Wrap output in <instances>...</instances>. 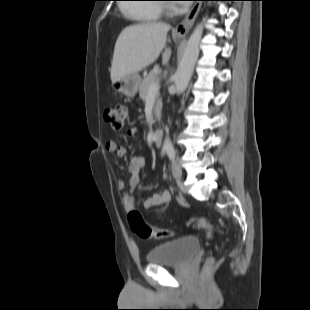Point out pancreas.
<instances>
[{"mask_svg":"<svg viewBox=\"0 0 310 310\" xmlns=\"http://www.w3.org/2000/svg\"><path fill=\"white\" fill-rule=\"evenodd\" d=\"M157 81V76L154 73H150L149 75H147L142 83L140 84L139 87V96L143 101H146L147 97H148V93H149V88L150 86H152L153 84H155ZM161 100L159 98H157L156 101V106H155V115L157 117H159L160 115V111H161Z\"/></svg>","mask_w":310,"mask_h":310,"instance_id":"pancreas-1","label":"pancreas"}]
</instances>
